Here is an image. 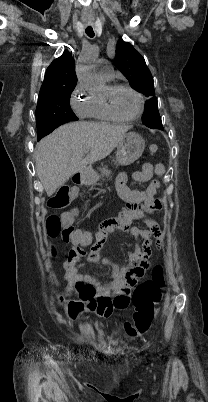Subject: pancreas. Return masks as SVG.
Here are the masks:
<instances>
[{
	"label": "pancreas",
	"mask_w": 208,
	"mask_h": 402,
	"mask_svg": "<svg viewBox=\"0 0 208 402\" xmlns=\"http://www.w3.org/2000/svg\"><path fill=\"white\" fill-rule=\"evenodd\" d=\"M105 172H107V170H105V168H102V174H105Z\"/></svg>",
	"instance_id": "obj_1"
}]
</instances>
